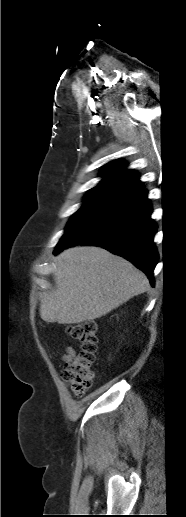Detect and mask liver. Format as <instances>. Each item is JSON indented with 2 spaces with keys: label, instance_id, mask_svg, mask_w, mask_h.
Listing matches in <instances>:
<instances>
[{
  "label": "liver",
  "instance_id": "6515ba94",
  "mask_svg": "<svg viewBox=\"0 0 186 517\" xmlns=\"http://www.w3.org/2000/svg\"><path fill=\"white\" fill-rule=\"evenodd\" d=\"M54 262L56 289L45 293L40 304V316L47 323L100 318L149 287L142 271L100 247L68 248Z\"/></svg>",
  "mask_w": 186,
  "mask_h": 517
}]
</instances>
